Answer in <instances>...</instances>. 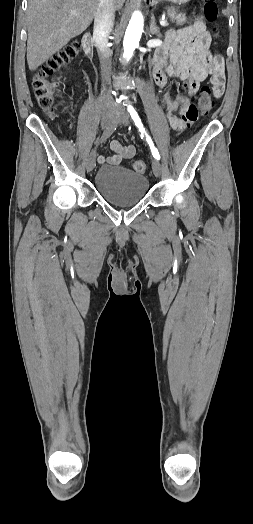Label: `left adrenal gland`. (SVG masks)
<instances>
[{
	"label": "left adrenal gland",
	"instance_id": "obj_1",
	"mask_svg": "<svg viewBox=\"0 0 253 524\" xmlns=\"http://www.w3.org/2000/svg\"><path fill=\"white\" fill-rule=\"evenodd\" d=\"M150 33L152 35H156L158 37H161L160 29L156 26L154 15L151 16Z\"/></svg>",
	"mask_w": 253,
	"mask_h": 524
}]
</instances>
